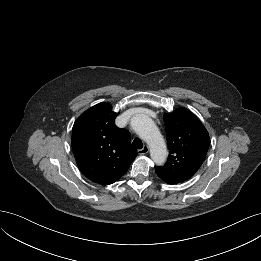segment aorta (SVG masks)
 <instances>
[{
	"label": "aorta",
	"mask_w": 261,
	"mask_h": 261,
	"mask_svg": "<svg viewBox=\"0 0 261 261\" xmlns=\"http://www.w3.org/2000/svg\"><path fill=\"white\" fill-rule=\"evenodd\" d=\"M131 127L148 144L152 160L163 164L167 158L166 143L153 120L147 115H136L131 119Z\"/></svg>",
	"instance_id": "1"
}]
</instances>
